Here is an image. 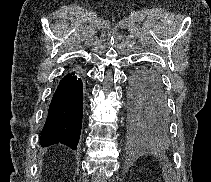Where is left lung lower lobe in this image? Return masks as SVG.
<instances>
[{"instance_id":"0a47b994","label":"left lung lower lobe","mask_w":211,"mask_h":182,"mask_svg":"<svg viewBox=\"0 0 211 182\" xmlns=\"http://www.w3.org/2000/svg\"><path fill=\"white\" fill-rule=\"evenodd\" d=\"M129 97L134 117L148 126L153 134L165 133L169 113L162 82L150 66L137 69L130 79Z\"/></svg>"}]
</instances>
